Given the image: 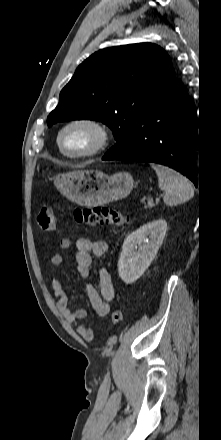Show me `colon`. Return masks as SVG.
Returning a JSON list of instances; mask_svg holds the SVG:
<instances>
[{
	"label": "colon",
	"mask_w": 221,
	"mask_h": 440,
	"mask_svg": "<svg viewBox=\"0 0 221 440\" xmlns=\"http://www.w3.org/2000/svg\"><path fill=\"white\" fill-rule=\"evenodd\" d=\"M73 217L77 223L87 227H96L103 224L123 226L129 221L125 214L108 207L76 208L73 211ZM38 224L43 231L52 232L56 229L57 222L52 207L45 206L40 210ZM111 319L113 325H119L123 319L122 312L118 309L114 310Z\"/></svg>",
	"instance_id": "5ec220e1"
}]
</instances>
